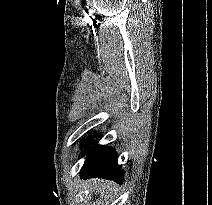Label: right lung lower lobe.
I'll list each match as a JSON object with an SVG mask.
<instances>
[{"label":"right lung lower lobe","instance_id":"98d812e1","mask_svg":"<svg viewBox=\"0 0 212 205\" xmlns=\"http://www.w3.org/2000/svg\"><path fill=\"white\" fill-rule=\"evenodd\" d=\"M86 142L81 144V148L85 147ZM91 144L88 145L86 161L81 169L80 175L82 178L100 177L109 180H114L118 183L123 181V171L117 164L116 152L112 147H104L94 145L91 149Z\"/></svg>","mask_w":212,"mask_h":205}]
</instances>
